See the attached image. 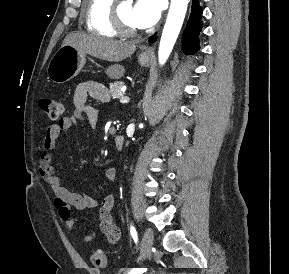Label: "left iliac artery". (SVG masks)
<instances>
[{
	"instance_id": "1",
	"label": "left iliac artery",
	"mask_w": 289,
	"mask_h": 274,
	"mask_svg": "<svg viewBox=\"0 0 289 274\" xmlns=\"http://www.w3.org/2000/svg\"><path fill=\"white\" fill-rule=\"evenodd\" d=\"M130 233H131V236H132L134 242L137 244V242H138L137 231L133 225H131V227H130Z\"/></svg>"
}]
</instances>
